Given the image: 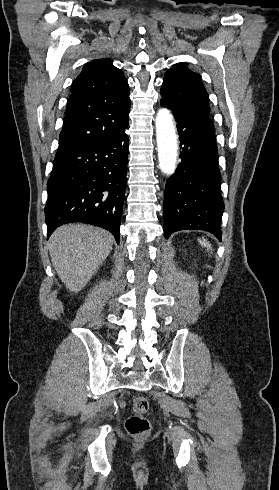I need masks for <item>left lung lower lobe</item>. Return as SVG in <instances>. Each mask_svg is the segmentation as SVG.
<instances>
[{"label": "left lung lower lobe", "mask_w": 279, "mask_h": 490, "mask_svg": "<svg viewBox=\"0 0 279 490\" xmlns=\"http://www.w3.org/2000/svg\"><path fill=\"white\" fill-rule=\"evenodd\" d=\"M169 108L177 122L181 162L167 180L164 196V235L179 230H204L220 241L224 204L220 194L218 150L211 118Z\"/></svg>", "instance_id": "0a47b994"}]
</instances>
